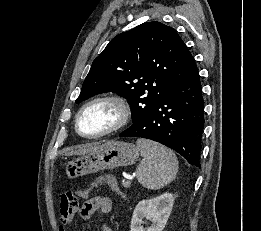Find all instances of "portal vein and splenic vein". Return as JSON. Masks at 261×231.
Here are the masks:
<instances>
[{"label":"portal vein and splenic vein","instance_id":"1","mask_svg":"<svg viewBox=\"0 0 261 231\" xmlns=\"http://www.w3.org/2000/svg\"><path fill=\"white\" fill-rule=\"evenodd\" d=\"M125 183L129 185V184H130V181H129V180H127Z\"/></svg>","mask_w":261,"mask_h":231}]
</instances>
